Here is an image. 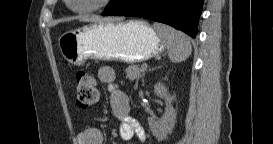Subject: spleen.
<instances>
[{
  "label": "spleen",
  "mask_w": 273,
  "mask_h": 144,
  "mask_svg": "<svg viewBox=\"0 0 273 144\" xmlns=\"http://www.w3.org/2000/svg\"><path fill=\"white\" fill-rule=\"evenodd\" d=\"M153 28L157 31L168 50V56L174 63L186 60L192 52L189 37L170 26L154 23Z\"/></svg>",
  "instance_id": "1"
}]
</instances>
